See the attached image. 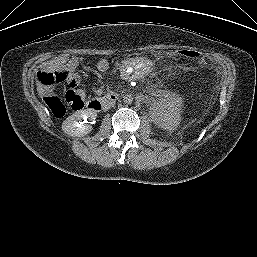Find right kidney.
<instances>
[{
  "mask_svg": "<svg viewBox=\"0 0 257 257\" xmlns=\"http://www.w3.org/2000/svg\"><path fill=\"white\" fill-rule=\"evenodd\" d=\"M97 113L91 109H83L69 116L62 124L64 133L73 136H85L92 131V125Z\"/></svg>",
  "mask_w": 257,
  "mask_h": 257,
  "instance_id": "1",
  "label": "right kidney"
}]
</instances>
